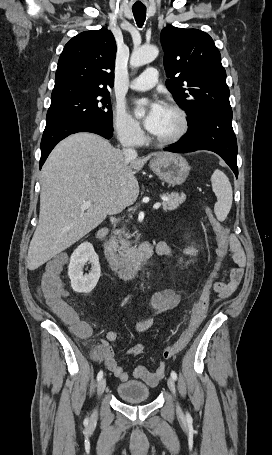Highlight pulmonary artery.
<instances>
[{
	"label": "pulmonary artery",
	"mask_w": 272,
	"mask_h": 455,
	"mask_svg": "<svg viewBox=\"0 0 272 455\" xmlns=\"http://www.w3.org/2000/svg\"><path fill=\"white\" fill-rule=\"evenodd\" d=\"M158 81V71L154 67L147 68L141 75L133 79L129 85L131 89L144 91L151 89Z\"/></svg>",
	"instance_id": "1"
}]
</instances>
